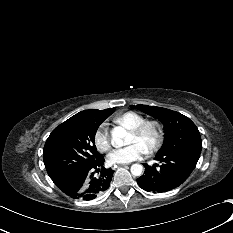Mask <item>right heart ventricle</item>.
I'll return each instance as SVG.
<instances>
[{"label": "right heart ventricle", "instance_id": "1", "mask_svg": "<svg viewBox=\"0 0 233 233\" xmlns=\"http://www.w3.org/2000/svg\"><path fill=\"white\" fill-rule=\"evenodd\" d=\"M145 121V117L135 111H126L114 118L117 125L132 129Z\"/></svg>", "mask_w": 233, "mask_h": 233}]
</instances>
